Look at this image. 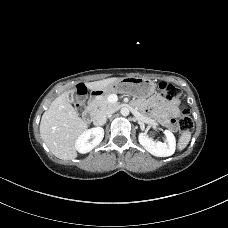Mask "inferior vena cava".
I'll return each instance as SVG.
<instances>
[{
  "mask_svg": "<svg viewBox=\"0 0 228 228\" xmlns=\"http://www.w3.org/2000/svg\"><path fill=\"white\" fill-rule=\"evenodd\" d=\"M114 113V110L99 112L93 117V124L96 126L104 125L107 117Z\"/></svg>",
  "mask_w": 228,
  "mask_h": 228,
  "instance_id": "obj_1",
  "label": "inferior vena cava"
}]
</instances>
